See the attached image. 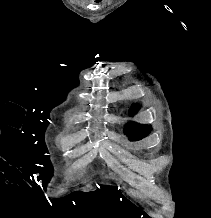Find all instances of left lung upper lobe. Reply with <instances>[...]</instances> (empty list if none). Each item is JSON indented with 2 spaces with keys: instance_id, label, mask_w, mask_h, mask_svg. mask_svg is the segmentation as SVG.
<instances>
[{
  "instance_id": "5c2ea615",
  "label": "left lung upper lobe",
  "mask_w": 211,
  "mask_h": 218,
  "mask_svg": "<svg viewBox=\"0 0 211 218\" xmlns=\"http://www.w3.org/2000/svg\"><path fill=\"white\" fill-rule=\"evenodd\" d=\"M137 109H138V106L134 105L131 108V111L135 112ZM150 131H151L150 127H144L143 125L136 124V123L128 124L124 130L125 134L132 141L142 139L144 136L148 135Z\"/></svg>"
}]
</instances>
